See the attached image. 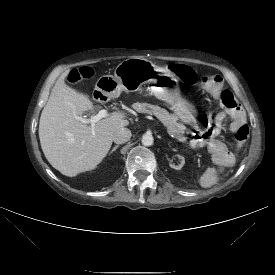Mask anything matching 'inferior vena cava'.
I'll return each instance as SVG.
<instances>
[{
  "label": "inferior vena cava",
  "mask_w": 275,
  "mask_h": 275,
  "mask_svg": "<svg viewBox=\"0 0 275 275\" xmlns=\"http://www.w3.org/2000/svg\"><path fill=\"white\" fill-rule=\"evenodd\" d=\"M131 138V131L128 128H120L113 135V141L116 144H123Z\"/></svg>",
  "instance_id": "inferior-vena-cava-1"
}]
</instances>
